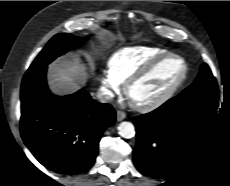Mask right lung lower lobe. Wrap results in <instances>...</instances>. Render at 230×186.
Segmentation results:
<instances>
[{
    "label": "right lung lower lobe",
    "mask_w": 230,
    "mask_h": 186,
    "mask_svg": "<svg viewBox=\"0 0 230 186\" xmlns=\"http://www.w3.org/2000/svg\"><path fill=\"white\" fill-rule=\"evenodd\" d=\"M47 66L24 75L20 130L24 143L46 168L66 175L85 172L95 162L102 133L115 123L109 104L81 89L53 95L46 83Z\"/></svg>",
    "instance_id": "obj_1"
}]
</instances>
